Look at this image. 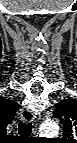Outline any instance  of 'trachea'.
<instances>
[{"label": "trachea", "instance_id": "1", "mask_svg": "<svg viewBox=\"0 0 77 143\" xmlns=\"http://www.w3.org/2000/svg\"><path fill=\"white\" fill-rule=\"evenodd\" d=\"M20 136H29L32 132V124L26 122H20L18 125Z\"/></svg>", "mask_w": 77, "mask_h": 143}]
</instances>
